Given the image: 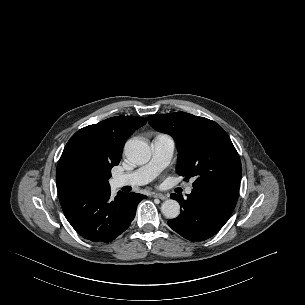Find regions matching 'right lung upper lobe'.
Segmentation results:
<instances>
[{
	"mask_svg": "<svg viewBox=\"0 0 305 305\" xmlns=\"http://www.w3.org/2000/svg\"><path fill=\"white\" fill-rule=\"evenodd\" d=\"M146 121L142 117L115 116L77 131L66 144L57 166L59 199L85 190L69 176L70 163L78 154L93 155L111 167L118 165L126 140Z\"/></svg>",
	"mask_w": 305,
	"mask_h": 305,
	"instance_id": "right-lung-upper-lobe-1",
	"label": "right lung upper lobe"
}]
</instances>
